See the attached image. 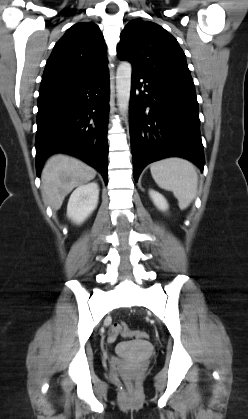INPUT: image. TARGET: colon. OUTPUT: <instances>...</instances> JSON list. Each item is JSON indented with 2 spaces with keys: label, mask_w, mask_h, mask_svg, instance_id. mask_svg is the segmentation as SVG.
I'll list each match as a JSON object with an SVG mask.
<instances>
[{
  "label": "colon",
  "mask_w": 248,
  "mask_h": 419,
  "mask_svg": "<svg viewBox=\"0 0 248 419\" xmlns=\"http://www.w3.org/2000/svg\"><path fill=\"white\" fill-rule=\"evenodd\" d=\"M112 332L113 335L115 334H121L123 337L126 338H137L141 340H147L149 338V335L147 332L139 331V330H131L128 328V326L125 323H115L112 326Z\"/></svg>",
  "instance_id": "5ec220e1"
}]
</instances>
